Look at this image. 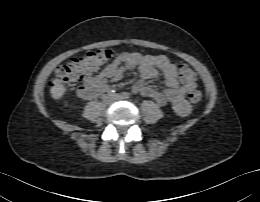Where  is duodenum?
<instances>
[{
    "label": "duodenum",
    "instance_id": "1",
    "mask_svg": "<svg viewBox=\"0 0 260 202\" xmlns=\"http://www.w3.org/2000/svg\"><path fill=\"white\" fill-rule=\"evenodd\" d=\"M107 90V87H101L99 89L87 87L82 92V97L84 99H92L95 96H98L99 94L105 92Z\"/></svg>",
    "mask_w": 260,
    "mask_h": 202
}]
</instances>
